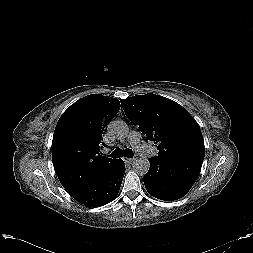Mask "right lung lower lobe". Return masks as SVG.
<instances>
[{"label": "right lung lower lobe", "instance_id": "98d812e1", "mask_svg": "<svg viewBox=\"0 0 253 253\" xmlns=\"http://www.w3.org/2000/svg\"><path fill=\"white\" fill-rule=\"evenodd\" d=\"M125 173V164L119 159L103 178L71 195L88 207H100L111 202L118 194Z\"/></svg>", "mask_w": 253, "mask_h": 253}]
</instances>
